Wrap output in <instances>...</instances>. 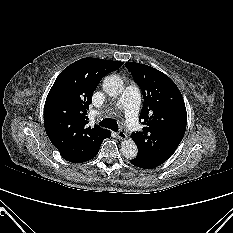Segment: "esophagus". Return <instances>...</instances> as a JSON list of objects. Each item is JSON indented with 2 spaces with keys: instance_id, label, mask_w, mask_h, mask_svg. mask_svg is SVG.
<instances>
[{
  "instance_id": "obj_1",
  "label": "esophagus",
  "mask_w": 233,
  "mask_h": 233,
  "mask_svg": "<svg viewBox=\"0 0 233 233\" xmlns=\"http://www.w3.org/2000/svg\"><path fill=\"white\" fill-rule=\"evenodd\" d=\"M117 137H118L120 140H125V139H127L126 133H125L124 131H122V130H119V131L117 132Z\"/></svg>"
}]
</instances>
